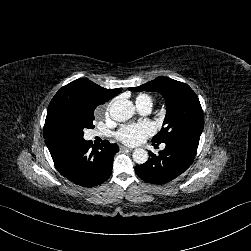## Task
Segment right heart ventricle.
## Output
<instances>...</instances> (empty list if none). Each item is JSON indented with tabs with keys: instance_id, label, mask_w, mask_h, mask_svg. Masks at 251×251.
<instances>
[{
	"instance_id": "right-heart-ventricle-1",
	"label": "right heart ventricle",
	"mask_w": 251,
	"mask_h": 251,
	"mask_svg": "<svg viewBox=\"0 0 251 251\" xmlns=\"http://www.w3.org/2000/svg\"><path fill=\"white\" fill-rule=\"evenodd\" d=\"M146 101H149V102H153L152 101V98L149 96V95H146V94H139L137 97H136V104H142Z\"/></svg>"
}]
</instances>
